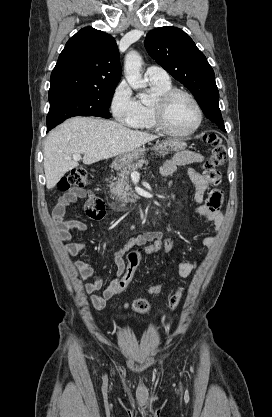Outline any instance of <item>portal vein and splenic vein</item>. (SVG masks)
<instances>
[{
  "label": "portal vein and splenic vein",
  "mask_w": 272,
  "mask_h": 417,
  "mask_svg": "<svg viewBox=\"0 0 272 417\" xmlns=\"http://www.w3.org/2000/svg\"><path fill=\"white\" fill-rule=\"evenodd\" d=\"M73 159L74 160H80L81 159V155L80 154H73ZM131 175H138V172H136V171H133L132 173H131Z\"/></svg>",
  "instance_id": "portal-vein-and-splenic-vein-1"
}]
</instances>
